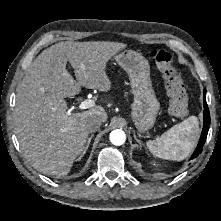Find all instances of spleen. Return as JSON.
Instances as JSON below:
<instances>
[{
	"label": "spleen",
	"instance_id": "spleen-1",
	"mask_svg": "<svg viewBox=\"0 0 221 221\" xmlns=\"http://www.w3.org/2000/svg\"><path fill=\"white\" fill-rule=\"evenodd\" d=\"M200 133L197 117L190 116L155 140L147 142L150 152L163 159L181 161L196 145Z\"/></svg>",
	"mask_w": 221,
	"mask_h": 221
}]
</instances>
